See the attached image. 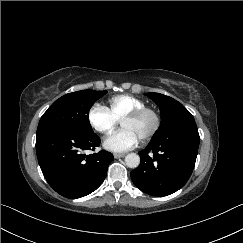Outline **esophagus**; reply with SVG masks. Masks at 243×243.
Wrapping results in <instances>:
<instances>
[{"label": "esophagus", "instance_id": "obj_1", "mask_svg": "<svg viewBox=\"0 0 243 243\" xmlns=\"http://www.w3.org/2000/svg\"><path fill=\"white\" fill-rule=\"evenodd\" d=\"M124 156H125V154H123V153H114V158H116V159L122 158Z\"/></svg>", "mask_w": 243, "mask_h": 243}]
</instances>
